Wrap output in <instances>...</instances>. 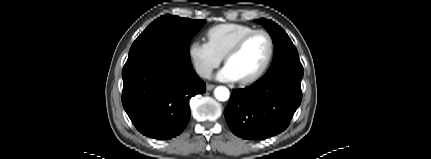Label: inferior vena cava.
<instances>
[{"label":"inferior vena cava","instance_id":"inferior-vena-cava-1","mask_svg":"<svg viewBox=\"0 0 431 159\" xmlns=\"http://www.w3.org/2000/svg\"><path fill=\"white\" fill-rule=\"evenodd\" d=\"M197 73L204 78H210L212 74V69L209 67H201L197 69Z\"/></svg>","mask_w":431,"mask_h":159}]
</instances>
